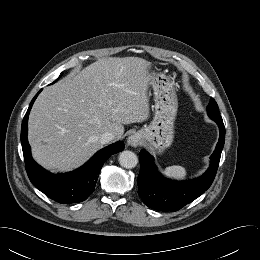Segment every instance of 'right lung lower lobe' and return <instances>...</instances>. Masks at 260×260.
<instances>
[{"label":"right lung lower lobe","mask_w":260,"mask_h":260,"mask_svg":"<svg viewBox=\"0 0 260 260\" xmlns=\"http://www.w3.org/2000/svg\"><path fill=\"white\" fill-rule=\"evenodd\" d=\"M40 92L41 90L31 101L21 127V143L28 177L37 189L58 203L82 202L93 192L106 159L123 151L124 143L118 141L101 149L86 164L73 172L57 175L47 172L32 159L27 139L29 112Z\"/></svg>","instance_id":"right-lung-lower-lobe-1"}]
</instances>
